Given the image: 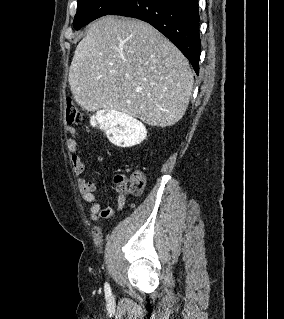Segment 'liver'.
<instances>
[{
	"label": "liver",
	"mask_w": 284,
	"mask_h": 319,
	"mask_svg": "<svg viewBox=\"0 0 284 319\" xmlns=\"http://www.w3.org/2000/svg\"><path fill=\"white\" fill-rule=\"evenodd\" d=\"M68 81L83 109L116 110L158 127L183 117L194 82L186 57L154 27L110 15L77 45Z\"/></svg>",
	"instance_id": "liver-1"
}]
</instances>
